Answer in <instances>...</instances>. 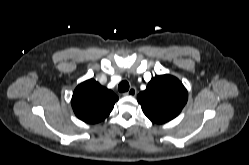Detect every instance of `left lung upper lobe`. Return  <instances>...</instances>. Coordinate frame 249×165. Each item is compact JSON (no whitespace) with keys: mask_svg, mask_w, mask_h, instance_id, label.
<instances>
[{"mask_svg":"<svg viewBox=\"0 0 249 165\" xmlns=\"http://www.w3.org/2000/svg\"><path fill=\"white\" fill-rule=\"evenodd\" d=\"M188 93L182 82L171 75H157L139 93L137 100L144 114L157 124L178 116L185 106Z\"/></svg>","mask_w":249,"mask_h":165,"instance_id":"1","label":"left lung upper lobe"}]
</instances>
